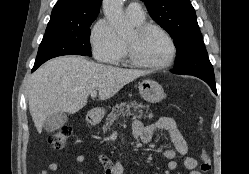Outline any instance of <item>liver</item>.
<instances>
[{
  "mask_svg": "<svg viewBox=\"0 0 249 174\" xmlns=\"http://www.w3.org/2000/svg\"><path fill=\"white\" fill-rule=\"evenodd\" d=\"M148 74L88 61L79 56L52 59L37 69L28 85L29 111L40 133L54 113L74 114L82 109L92 91L99 99L114 96L124 85Z\"/></svg>",
  "mask_w": 249,
  "mask_h": 174,
  "instance_id": "obj_1",
  "label": "liver"
}]
</instances>
